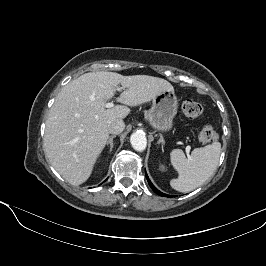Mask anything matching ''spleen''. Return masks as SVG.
Segmentation results:
<instances>
[{"instance_id":"obj_1","label":"spleen","mask_w":266,"mask_h":266,"mask_svg":"<svg viewBox=\"0 0 266 266\" xmlns=\"http://www.w3.org/2000/svg\"><path fill=\"white\" fill-rule=\"evenodd\" d=\"M221 153V144L214 142L201 148H195L189 157L181 149L170 153V161L179 176L170 181L173 189L190 192L201 186L215 172Z\"/></svg>"}]
</instances>
